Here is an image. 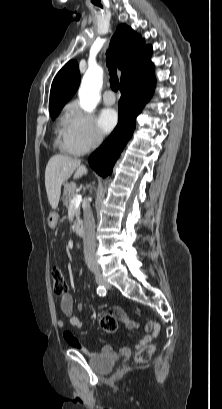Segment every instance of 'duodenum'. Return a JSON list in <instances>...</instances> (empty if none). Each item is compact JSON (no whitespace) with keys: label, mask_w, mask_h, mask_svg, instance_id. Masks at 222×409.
Listing matches in <instances>:
<instances>
[{"label":"duodenum","mask_w":222,"mask_h":409,"mask_svg":"<svg viewBox=\"0 0 222 409\" xmlns=\"http://www.w3.org/2000/svg\"><path fill=\"white\" fill-rule=\"evenodd\" d=\"M74 231L77 235L83 237L84 236V227L83 224L80 221H75L74 222Z\"/></svg>","instance_id":"obj_1"}]
</instances>
